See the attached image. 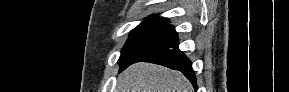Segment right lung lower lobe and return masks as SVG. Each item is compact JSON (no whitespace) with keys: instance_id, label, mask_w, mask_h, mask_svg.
<instances>
[{"instance_id":"right-lung-lower-lobe-1","label":"right lung lower lobe","mask_w":289,"mask_h":92,"mask_svg":"<svg viewBox=\"0 0 289 92\" xmlns=\"http://www.w3.org/2000/svg\"><path fill=\"white\" fill-rule=\"evenodd\" d=\"M139 61L156 63L159 65L169 67L171 69L181 71L190 80V82L193 84L195 89H197L196 77H195L194 70L192 68V63L185 56V54L179 50L178 43L164 50H161L153 55L138 59L132 63L139 62Z\"/></svg>"}]
</instances>
